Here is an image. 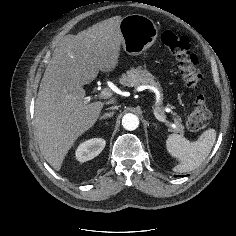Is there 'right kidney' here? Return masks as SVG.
<instances>
[{"mask_svg":"<svg viewBox=\"0 0 236 236\" xmlns=\"http://www.w3.org/2000/svg\"><path fill=\"white\" fill-rule=\"evenodd\" d=\"M105 140L102 138H94L81 143L76 152V159L79 162H86L98 156L105 147Z\"/></svg>","mask_w":236,"mask_h":236,"instance_id":"ca27d5eb","label":"right kidney"}]
</instances>
